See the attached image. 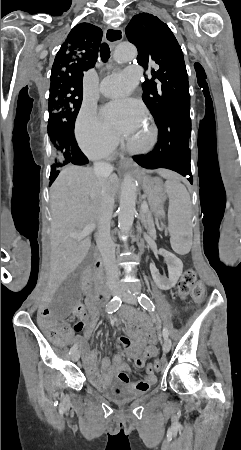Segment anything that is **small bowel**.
Returning a JSON list of instances; mask_svg holds the SVG:
<instances>
[{
  "label": "small bowel",
  "mask_w": 241,
  "mask_h": 450,
  "mask_svg": "<svg viewBox=\"0 0 241 450\" xmlns=\"http://www.w3.org/2000/svg\"><path fill=\"white\" fill-rule=\"evenodd\" d=\"M87 297L86 302L89 305L91 317L89 320L80 319L73 327V331H83L82 335H77L75 338L76 344L84 352V361L86 371L92 380L93 384L99 388L104 389L114 382L120 384V388H131L139 392H147L156 382L155 369L153 365L147 364V360L158 355L157 338L155 333L151 330L150 324H137L136 330L130 328V323L127 326L128 333L119 339V352L112 358L107 357L101 360V370L95 367V354L88 348V339L94 327L97 313L98 302L94 299L90 290L93 285L90 282L84 285ZM37 319H50L51 313L45 301L40 303V308L36 313ZM41 327L44 330L47 339L55 344L63 342L62 335H69L71 330L69 328L58 329L50 328V322L43 320ZM79 327L82 330H79ZM124 351L133 361L136 367L145 369V378L142 380L130 379L127 371L128 364L124 361Z\"/></svg>",
  "instance_id": "small-bowel-1"
}]
</instances>
